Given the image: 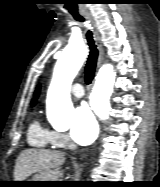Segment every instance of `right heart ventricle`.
<instances>
[{
  "label": "right heart ventricle",
  "instance_id": "1",
  "mask_svg": "<svg viewBox=\"0 0 160 187\" xmlns=\"http://www.w3.org/2000/svg\"><path fill=\"white\" fill-rule=\"evenodd\" d=\"M28 143L37 148H47L52 143V133L40 125L38 121L32 122L28 130Z\"/></svg>",
  "mask_w": 160,
  "mask_h": 187
}]
</instances>
